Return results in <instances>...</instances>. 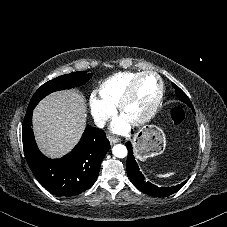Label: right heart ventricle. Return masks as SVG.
<instances>
[{
  "instance_id": "e07e8e85",
  "label": "right heart ventricle",
  "mask_w": 227,
  "mask_h": 227,
  "mask_svg": "<svg viewBox=\"0 0 227 227\" xmlns=\"http://www.w3.org/2000/svg\"><path fill=\"white\" fill-rule=\"evenodd\" d=\"M139 72L124 71L105 79L96 89V95L102 102L114 107L118 104L132 79Z\"/></svg>"
}]
</instances>
